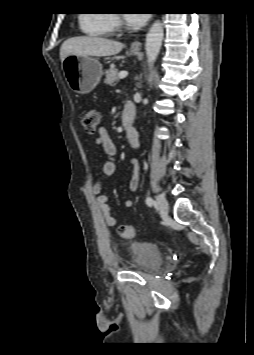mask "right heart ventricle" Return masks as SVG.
<instances>
[{
	"label": "right heart ventricle",
	"instance_id": "e07e8e85",
	"mask_svg": "<svg viewBox=\"0 0 254 355\" xmlns=\"http://www.w3.org/2000/svg\"><path fill=\"white\" fill-rule=\"evenodd\" d=\"M79 22L81 30L91 37H107L114 31V18L108 12L82 14Z\"/></svg>",
	"mask_w": 254,
	"mask_h": 355
}]
</instances>
